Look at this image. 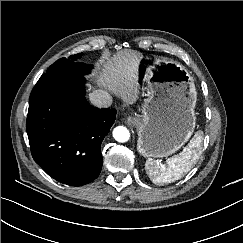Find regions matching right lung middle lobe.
<instances>
[{
	"mask_svg": "<svg viewBox=\"0 0 243 243\" xmlns=\"http://www.w3.org/2000/svg\"><path fill=\"white\" fill-rule=\"evenodd\" d=\"M82 53L71 55L69 59L61 58L52 64L44 75H85L90 72L92 66L77 62Z\"/></svg>",
	"mask_w": 243,
	"mask_h": 243,
	"instance_id": "right-lung-middle-lobe-1",
	"label": "right lung middle lobe"
}]
</instances>
